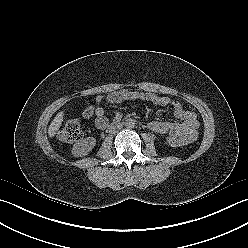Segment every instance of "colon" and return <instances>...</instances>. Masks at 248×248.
I'll list each match as a JSON object with an SVG mask.
<instances>
[{"mask_svg":"<svg viewBox=\"0 0 248 248\" xmlns=\"http://www.w3.org/2000/svg\"><path fill=\"white\" fill-rule=\"evenodd\" d=\"M94 108L89 106L83 111V116L89 118L93 115ZM82 137L81 125L78 120H68L65 125L58 132V138L67 143L76 142ZM167 142L172 147H180L184 144V141L177 136H168Z\"/></svg>","mask_w":248,"mask_h":248,"instance_id":"1","label":"colon"}]
</instances>
